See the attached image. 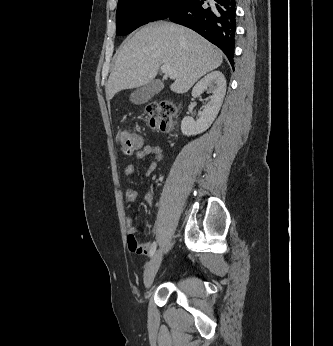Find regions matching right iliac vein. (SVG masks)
<instances>
[{
	"label": "right iliac vein",
	"mask_w": 333,
	"mask_h": 346,
	"mask_svg": "<svg viewBox=\"0 0 333 346\" xmlns=\"http://www.w3.org/2000/svg\"><path fill=\"white\" fill-rule=\"evenodd\" d=\"M162 250H158L147 264L144 272V285L150 288L162 261Z\"/></svg>",
	"instance_id": "right-iliac-vein-1"
}]
</instances>
